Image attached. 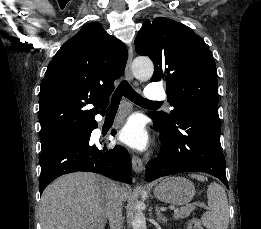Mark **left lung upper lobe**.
I'll return each mask as SVG.
<instances>
[{
	"label": "left lung upper lobe",
	"instance_id": "5c2ea615",
	"mask_svg": "<svg viewBox=\"0 0 261 229\" xmlns=\"http://www.w3.org/2000/svg\"><path fill=\"white\" fill-rule=\"evenodd\" d=\"M139 55L154 63L151 82L166 80L169 114L150 115L167 130H175L190 114L219 120L217 72L213 56L201 37L189 27L165 18L145 20L135 39Z\"/></svg>",
	"mask_w": 261,
	"mask_h": 229
}]
</instances>
